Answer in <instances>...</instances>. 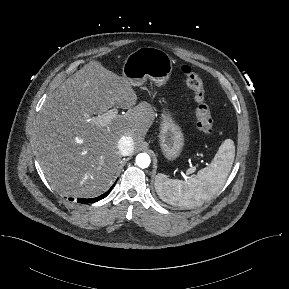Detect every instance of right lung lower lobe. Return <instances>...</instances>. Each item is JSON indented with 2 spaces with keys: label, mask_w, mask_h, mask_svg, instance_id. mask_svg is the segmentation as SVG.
Wrapping results in <instances>:
<instances>
[{
  "label": "right lung lower lobe",
  "mask_w": 289,
  "mask_h": 289,
  "mask_svg": "<svg viewBox=\"0 0 289 289\" xmlns=\"http://www.w3.org/2000/svg\"><path fill=\"white\" fill-rule=\"evenodd\" d=\"M114 187V185L104 194H102L101 196L99 197H96V198H90V199H86V198H79L77 201L79 203H93V202H96V201H99L103 198H105L112 190V188ZM70 200H73L72 198Z\"/></svg>",
  "instance_id": "right-lung-lower-lobe-1"
}]
</instances>
